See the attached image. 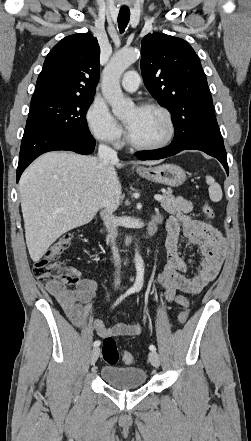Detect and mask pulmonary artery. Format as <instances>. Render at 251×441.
Segmentation results:
<instances>
[{
	"label": "pulmonary artery",
	"instance_id": "pulmonary-artery-1",
	"mask_svg": "<svg viewBox=\"0 0 251 441\" xmlns=\"http://www.w3.org/2000/svg\"><path fill=\"white\" fill-rule=\"evenodd\" d=\"M122 87L129 92H134L138 89L140 84V77L137 72H126L121 81Z\"/></svg>",
	"mask_w": 251,
	"mask_h": 441
}]
</instances>
